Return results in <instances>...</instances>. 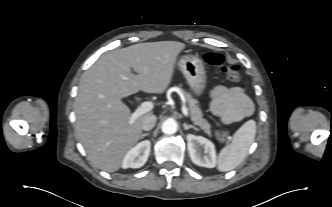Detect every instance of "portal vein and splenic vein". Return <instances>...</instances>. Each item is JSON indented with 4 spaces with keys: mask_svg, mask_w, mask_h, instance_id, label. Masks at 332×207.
Masks as SVG:
<instances>
[{
    "mask_svg": "<svg viewBox=\"0 0 332 207\" xmlns=\"http://www.w3.org/2000/svg\"><path fill=\"white\" fill-rule=\"evenodd\" d=\"M154 105L152 102L147 101V102H142L140 104L139 109H137L134 113H132L130 120H129V124L132 125L134 123V121L141 115L151 111L153 109ZM182 112L184 114V116L188 117V109L185 105L182 106Z\"/></svg>",
    "mask_w": 332,
    "mask_h": 207,
    "instance_id": "portal-vein-and-splenic-vein-1",
    "label": "portal vein and splenic vein"
}]
</instances>
